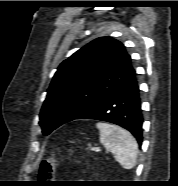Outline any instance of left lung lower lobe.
Masks as SVG:
<instances>
[{
    "label": "left lung lower lobe",
    "mask_w": 178,
    "mask_h": 186,
    "mask_svg": "<svg viewBox=\"0 0 178 186\" xmlns=\"http://www.w3.org/2000/svg\"><path fill=\"white\" fill-rule=\"evenodd\" d=\"M75 119H94L117 124L130 131L141 145L143 115L136 74L73 120Z\"/></svg>",
    "instance_id": "left-lung-lower-lobe-1"
}]
</instances>
